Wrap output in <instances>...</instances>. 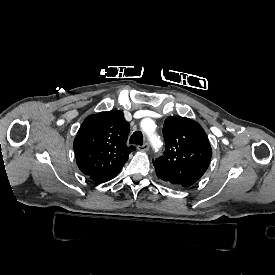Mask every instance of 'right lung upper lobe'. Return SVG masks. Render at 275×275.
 <instances>
[{
    "instance_id": "cb5924a9",
    "label": "right lung upper lobe",
    "mask_w": 275,
    "mask_h": 275,
    "mask_svg": "<svg viewBox=\"0 0 275 275\" xmlns=\"http://www.w3.org/2000/svg\"><path fill=\"white\" fill-rule=\"evenodd\" d=\"M129 124L119 110L88 116L75 139L79 169L87 176L119 173L135 146H127Z\"/></svg>"
}]
</instances>
